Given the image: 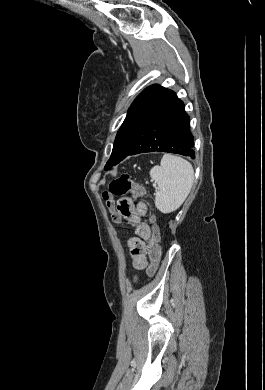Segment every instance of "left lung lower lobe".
Wrapping results in <instances>:
<instances>
[{
	"label": "left lung lower lobe",
	"instance_id": "1",
	"mask_svg": "<svg viewBox=\"0 0 265 390\" xmlns=\"http://www.w3.org/2000/svg\"><path fill=\"white\" fill-rule=\"evenodd\" d=\"M189 116L176 94L160 87L142 109L133 135L117 164L124 158L146 152H168L195 158Z\"/></svg>",
	"mask_w": 265,
	"mask_h": 390
}]
</instances>
